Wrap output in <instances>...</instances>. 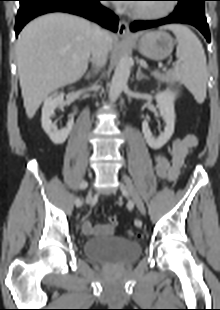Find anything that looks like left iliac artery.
<instances>
[{
	"label": "left iliac artery",
	"instance_id": "left-iliac-artery-1",
	"mask_svg": "<svg viewBox=\"0 0 220 310\" xmlns=\"http://www.w3.org/2000/svg\"><path fill=\"white\" fill-rule=\"evenodd\" d=\"M127 208H128V210L132 211L134 209V203L132 201H129L127 203ZM134 224L137 227H141L142 226V221L140 219H135L134 220Z\"/></svg>",
	"mask_w": 220,
	"mask_h": 310
}]
</instances>
